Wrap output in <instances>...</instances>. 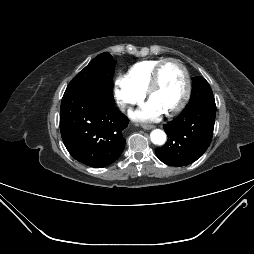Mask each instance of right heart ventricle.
I'll return each instance as SVG.
<instances>
[{
  "instance_id": "obj_1",
  "label": "right heart ventricle",
  "mask_w": 254,
  "mask_h": 254,
  "mask_svg": "<svg viewBox=\"0 0 254 254\" xmlns=\"http://www.w3.org/2000/svg\"><path fill=\"white\" fill-rule=\"evenodd\" d=\"M163 59L144 60L131 66L127 76L132 83L144 93L146 92L156 66Z\"/></svg>"
}]
</instances>
